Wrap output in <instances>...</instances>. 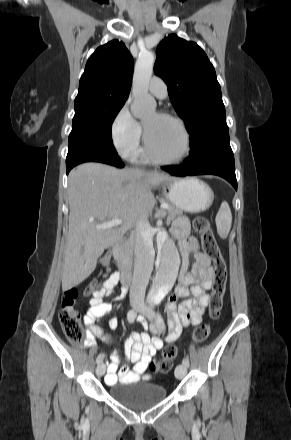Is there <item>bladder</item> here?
I'll list each match as a JSON object with an SVG mask.
<instances>
[{
	"mask_svg": "<svg viewBox=\"0 0 291 440\" xmlns=\"http://www.w3.org/2000/svg\"><path fill=\"white\" fill-rule=\"evenodd\" d=\"M110 396L119 404L140 408L163 401L167 396V390L159 384L145 380H131L111 385Z\"/></svg>",
	"mask_w": 291,
	"mask_h": 440,
	"instance_id": "bladder-1",
	"label": "bladder"
}]
</instances>
